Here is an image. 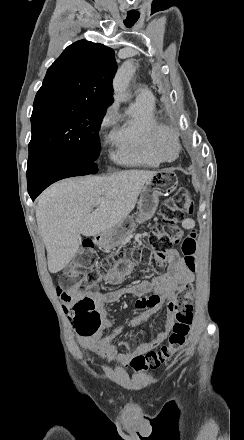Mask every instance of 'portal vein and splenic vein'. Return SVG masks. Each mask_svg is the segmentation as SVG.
<instances>
[{
  "instance_id": "1",
  "label": "portal vein and splenic vein",
  "mask_w": 244,
  "mask_h": 440,
  "mask_svg": "<svg viewBox=\"0 0 244 440\" xmlns=\"http://www.w3.org/2000/svg\"><path fill=\"white\" fill-rule=\"evenodd\" d=\"M102 200H97V202H95V206H99V204H101Z\"/></svg>"
}]
</instances>
